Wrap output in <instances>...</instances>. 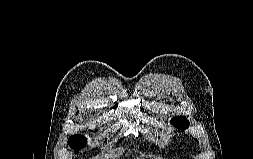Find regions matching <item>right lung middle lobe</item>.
<instances>
[{"mask_svg": "<svg viewBox=\"0 0 253 159\" xmlns=\"http://www.w3.org/2000/svg\"><path fill=\"white\" fill-rule=\"evenodd\" d=\"M85 143H86L85 137L80 135H74L68 139V144L70 145V147L76 150L81 149Z\"/></svg>", "mask_w": 253, "mask_h": 159, "instance_id": "1", "label": "right lung middle lobe"}]
</instances>
